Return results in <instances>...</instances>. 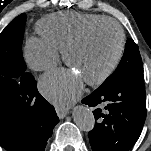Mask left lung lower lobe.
Here are the masks:
<instances>
[{
  "mask_svg": "<svg viewBox=\"0 0 151 151\" xmlns=\"http://www.w3.org/2000/svg\"><path fill=\"white\" fill-rule=\"evenodd\" d=\"M95 107V126L88 133L93 151H127L138 140L146 119L143 72H134L82 100ZM101 107H104L101 109Z\"/></svg>",
  "mask_w": 151,
  "mask_h": 151,
  "instance_id": "left-lung-lower-lobe-1",
  "label": "left lung lower lobe"
}]
</instances>
